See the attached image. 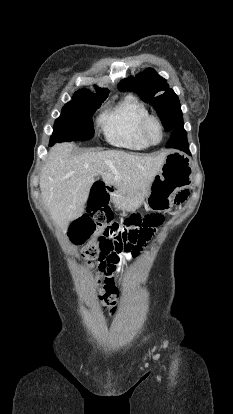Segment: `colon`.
I'll use <instances>...</instances> for the list:
<instances>
[{
    "label": "colon",
    "mask_w": 233,
    "mask_h": 414,
    "mask_svg": "<svg viewBox=\"0 0 233 414\" xmlns=\"http://www.w3.org/2000/svg\"><path fill=\"white\" fill-rule=\"evenodd\" d=\"M186 196V191L179 192L173 202L179 204L184 201ZM110 218L111 214L108 210L100 209L99 212H87L70 227V237L79 245L95 234V239L83 248L82 256L87 266H90L92 261L97 260L100 252L105 250L130 252L133 257H136L149 238L148 229L157 226L162 221V216L157 213L147 215L134 213L123 224H108ZM106 223L105 228L97 231V227H103ZM95 283L99 302L110 313L114 314L116 312L118 289L116 294L111 295L104 289L103 280L96 279Z\"/></svg>",
    "instance_id": "1"
}]
</instances>
